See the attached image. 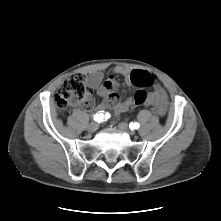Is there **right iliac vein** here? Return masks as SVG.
Wrapping results in <instances>:
<instances>
[{
    "label": "right iliac vein",
    "mask_w": 221,
    "mask_h": 221,
    "mask_svg": "<svg viewBox=\"0 0 221 221\" xmlns=\"http://www.w3.org/2000/svg\"><path fill=\"white\" fill-rule=\"evenodd\" d=\"M99 125L96 122H91L88 127L87 130L90 133H94L97 129H98Z\"/></svg>",
    "instance_id": "1"
}]
</instances>
